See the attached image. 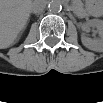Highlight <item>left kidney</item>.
Masks as SVG:
<instances>
[{"label":"left kidney","instance_id":"left-kidney-1","mask_svg":"<svg viewBox=\"0 0 103 103\" xmlns=\"http://www.w3.org/2000/svg\"><path fill=\"white\" fill-rule=\"evenodd\" d=\"M88 26L95 27L98 30L99 38L91 39L84 35L81 37L82 44L93 51L99 52L103 49V22L99 19H92L87 23Z\"/></svg>","mask_w":103,"mask_h":103}]
</instances>
